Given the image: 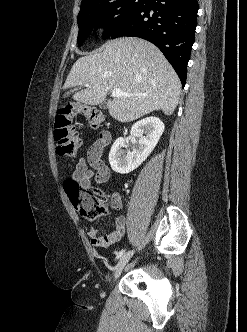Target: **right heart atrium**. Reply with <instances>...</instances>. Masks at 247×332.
I'll use <instances>...</instances> for the list:
<instances>
[{
    "label": "right heart atrium",
    "instance_id": "right-heart-atrium-1",
    "mask_svg": "<svg viewBox=\"0 0 247 332\" xmlns=\"http://www.w3.org/2000/svg\"><path fill=\"white\" fill-rule=\"evenodd\" d=\"M117 23V20L115 17H109V18H106L104 21H103V25L105 27H110V26H113Z\"/></svg>",
    "mask_w": 247,
    "mask_h": 332
}]
</instances>
